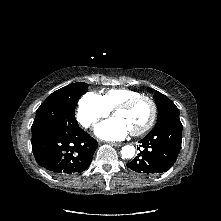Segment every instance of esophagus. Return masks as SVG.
<instances>
[{"instance_id":"obj_1","label":"esophagus","mask_w":221,"mask_h":221,"mask_svg":"<svg viewBox=\"0 0 221 221\" xmlns=\"http://www.w3.org/2000/svg\"><path fill=\"white\" fill-rule=\"evenodd\" d=\"M110 145L115 146V147H120L122 146V143L119 142H109Z\"/></svg>"}]
</instances>
